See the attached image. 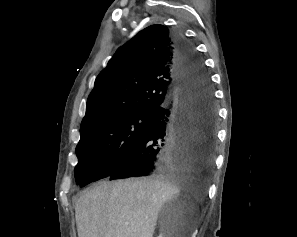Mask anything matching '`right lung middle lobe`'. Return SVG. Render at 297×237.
I'll return each instance as SVG.
<instances>
[{
    "label": "right lung middle lobe",
    "mask_w": 297,
    "mask_h": 237,
    "mask_svg": "<svg viewBox=\"0 0 297 237\" xmlns=\"http://www.w3.org/2000/svg\"><path fill=\"white\" fill-rule=\"evenodd\" d=\"M154 112H136L97 121L80 132L76 147L79 159L75 167L76 182L84 186L98 180L149 129Z\"/></svg>",
    "instance_id": "dd1d6c3e"
}]
</instances>
